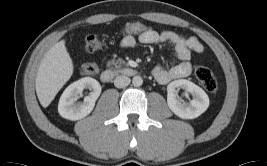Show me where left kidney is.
Returning a JSON list of instances; mask_svg holds the SVG:
<instances>
[{
    "label": "left kidney",
    "instance_id": "1",
    "mask_svg": "<svg viewBox=\"0 0 267 166\" xmlns=\"http://www.w3.org/2000/svg\"><path fill=\"white\" fill-rule=\"evenodd\" d=\"M183 89L193 96L189 103L181 102L177 96V89ZM167 103L171 111L182 119H194L204 113L209 106V98L205 91L186 79L172 81L167 86Z\"/></svg>",
    "mask_w": 267,
    "mask_h": 166
}]
</instances>
